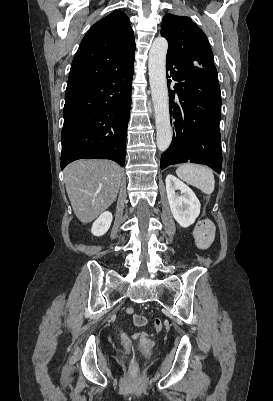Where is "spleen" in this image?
<instances>
[{
	"label": "spleen",
	"instance_id": "1",
	"mask_svg": "<svg viewBox=\"0 0 273 401\" xmlns=\"http://www.w3.org/2000/svg\"><path fill=\"white\" fill-rule=\"evenodd\" d=\"M176 174L188 182V184H193L200 188L205 194H211L215 188V178L213 170L208 168V166H200V164H191V162H186V164H181L176 170Z\"/></svg>",
	"mask_w": 273,
	"mask_h": 401
}]
</instances>
